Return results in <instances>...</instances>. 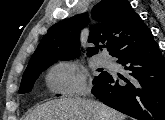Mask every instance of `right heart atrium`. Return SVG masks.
Segmentation results:
<instances>
[{"label":"right heart atrium","mask_w":165,"mask_h":120,"mask_svg":"<svg viewBox=\"0 0 165 120\" xmlns=\"http://www.w3.org/2000/svg\"><path fill=\"white\" fill-rule=\"evenodd\" d=\"M47 82L53 91L67 94H83L88 89L85 72L71 62L53 67L48 73Z\"/></svg>","instance_id":"obj_1"}]
</instances>
